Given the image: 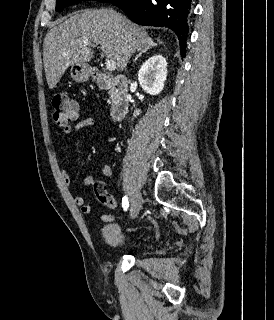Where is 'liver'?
Listing matches in <instances>:
<instances>
[{
    "label": "liver",
    "mask_w": 274,
    "mask_h": 320,
    "mask_svg": "<svg viewBox=\"0 0 274 320\" xmlns=\"http://www.w3.org/2000/svg\"><path fill=\"white\" fill-rule=\"evenodd\" d=\"M151 40L146 30L112 8L73 12L68 18H62L44 38L47 84L52 90L69 66L90 62L94 56L90 44H99L102 58L115 60L118 70H125L131 56L145 52ZM83 42H88V46Z\"/></svg>",
    "instance_id": "obj_1"
}]
</instances>
